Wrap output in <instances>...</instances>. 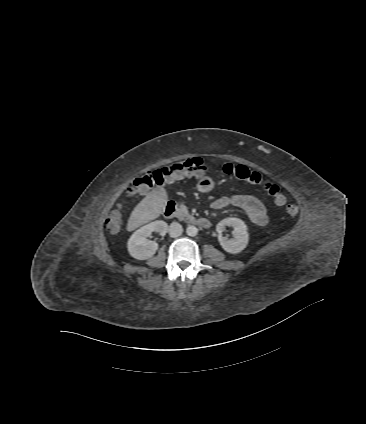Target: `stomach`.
<instances>
[{
  "label": "stomach",
  "mask_w": 366,
  "mask_h": 424,
  "mask_svg": "<svg viewBox=\"0 0 366 424\" xmlns=\"http://www.w3.org/2000/svg\"><path fill=\"white\" fill-rule=\"evenodd\" d=\"M196 188L201 193H207L215 188V182L211 177L203 176L197 181Z\"/></svg>",
  "instance_id": "1"
}]
</instances>
